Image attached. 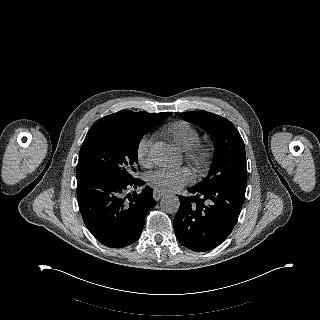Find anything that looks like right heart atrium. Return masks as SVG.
Listing matches in <instances>:
<instances>
[{
    "instance_id": "1",
    "label": "right heart atrium",
    "mask_w": 320,
    "mask_h": 320,
    "mask_svg": "<svg viewBox=\"0 0 320 320\" xmlns=\"http://www.w3.org/2000/svg\"><path fill=\"white\" fill-rule=\"evenodd\" d=\"M150 145H151V139L147 137H143L138 144L137 156L141 164L147 165L150 161V158H149Z\"/></svg>"
}]
</instances>
